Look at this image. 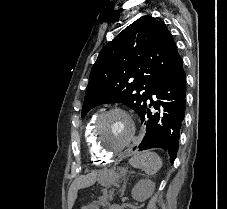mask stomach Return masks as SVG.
<instances>
[{"instance_id":"1","label":"stomach","mask_w":227,"mask_h":209,"mask_svg":"<svg viewBox=\"0 0 227 209\" xmlns=\"http://www.w3.org/2000/svg\"><path fill=\"white\" fill-rule=\"evenodd\" d=\"M123 173H124L123 169H120V172L113 170L103 171L98 175V182L102 186L110 187L119 180Z\"/></svg>"}]
</instances>
